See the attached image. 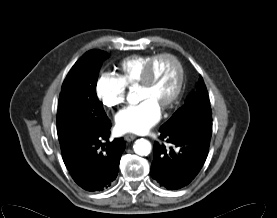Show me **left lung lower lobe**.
Listing matches in <instances>:
<instances>
[{"label":"left lung lower lobe","mask_w":277,"mask_h":218,"mask_svg":"<svg viewBox=\"0 0 277 218\" xmlns=\"http://www.w3.org/2000/svg\"><path fill=\"white\" fill-rule=\"evenodd\" d=\"M212 126H161L160 138L170 147L155 143L152 177L168 190L188 185L202 168L208 154Z\"/></svg>","instance_id":"obj_1"}]
</instances>
